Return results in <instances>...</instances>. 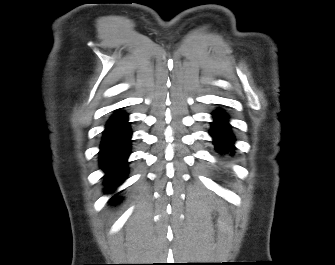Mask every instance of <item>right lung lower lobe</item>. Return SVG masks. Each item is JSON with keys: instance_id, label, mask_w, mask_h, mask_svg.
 Masks as SVG:
<instances>
[{"instance_id": "obj_1", "label": "right lung lower lobe", "mask_w": 335, "mask_h": 265, "mask_svg": "<svg viewBox=\"0 0 335 265\" xmlns=\"http://www.w3.org/2000/svg\"><path fill=\"white\" fill-rule=\"evenodd\" d=\"M130 144L131 131L127 115L117 112L109 119L100 146V164L105 171L107 185H118L126 175Z\"/></svg>"}]
</instances>
